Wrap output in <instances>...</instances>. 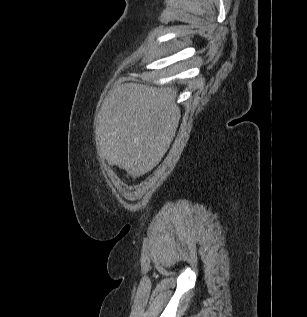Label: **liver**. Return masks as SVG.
Listing matches in <instances>:
<instances>
[{
	"label": "liver",
	"instance_id": "obj_1",
	"mask_svg": "<svg viewBox=\"0 0 307 317\" xmlns=\"http://www.w3.org/2000/svg\"><path fill=\"white\" fill-rule=\"evenodd\" d=\"M176 87L116 85L101 106L97 136L109 165L132 176L151 171L167 152L181 117Z\"/></svg>",
	"mask_w": 307,
	"mask_h": 317
}]
</instances>
